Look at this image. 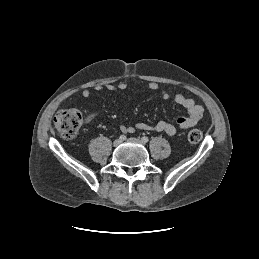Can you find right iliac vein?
<instances>
[{
    "mask_svg": "<svg viewBox=\"0 0 259 259\" xmlns=\"http://www.w3.org/2000/svg\"><path fill=\"white\" fill-rule=\"evenodd\" d=\"M121 143H122V141H121L120 139H116V140L114 141L113 145H114L115 147H118Z\"/></svg>",
    "mask_w": 259,
    "mask_h": 259,
    "instance_id": "obj_1",
    "label": "right iliac vein"
}]
</instances>
